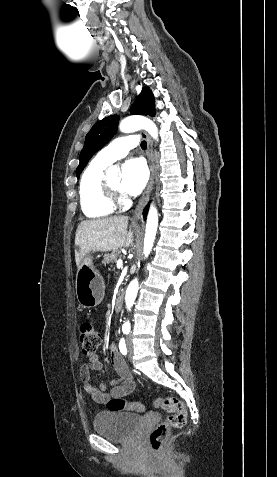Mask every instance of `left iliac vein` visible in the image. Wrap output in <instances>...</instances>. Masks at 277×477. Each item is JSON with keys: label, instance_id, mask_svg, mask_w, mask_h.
I'll list each match as a JSON object with an SVG mask.
<instances>
[{"label": "left iliac vein", "instance_id": "obj_1", "mask_svg": "<svg viewBox=\"0 0 277 477\" xmlns=\"http://www.w3.org/2000/svg\"><path fill=\"white\" fill-rule=\"evenodd\" d=\"M126 344H127V348H128L129 354H130V356H131V355L133 354V346H132V342H131V338H130V337L127 338Z\"/></svg>", "mask_w": 277, "mask_h": 477}]
</instances>
